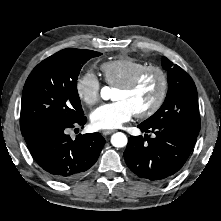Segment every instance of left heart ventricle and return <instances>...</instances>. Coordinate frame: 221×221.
Returning <instances> with one entry per match:
<instances>
[{
    "mask_svg": "<svg viewBox=\"0 0 221 221\" xmlns=\"http://www.w3.org/2000/svg\"><path fill=\"white\" fill-rule=\"evenodd\" d=\"M159 90V76L155 72H149L133 89L128 91L116 89L113 98L116 101L122 100L127 102L132 110L137 113L151 106Z\"/></svg>",
    "mask_w": 221,
    "mask_h": 221,
    "instance_id": "b2bd125f",
    "label": "left heart ventricle"
}]
</instances>
